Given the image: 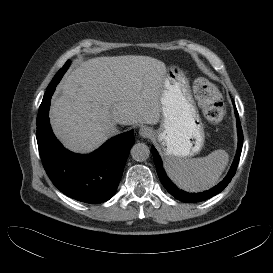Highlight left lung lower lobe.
<instances>
[{
  "instance_id": "left-lung-lower-lobe-1",
  "label": "left lung lower lobe",
  "mask_w": 273,
  "mask_h": 273,
  "mask_svg": "<svg viewBox=\"0 0 273 273\" xmlns=\"http://www.w3.org/2000/svg\"><path fill=\"white\" fill-rule=\"evenodd\" d=\"M234 109H235L237 129H238V149H237V153H236L234 162L232 164V167L230 168V170L228 172V175L217 186H215L214 188H212V189H210L208 191H205L203 193H187V192L179 190L169 180V178L165 174L161 158H160L159 154L157 153L156 149L154 147H152L154 163H155V166H156V171L158 173L159 179H160L161 183L163 184V186L166 188V190L171 195H173L176 199H178L180 201H183V202L204 201V200H207V199L215 196L216 194L220 193L228 185V183L231 181L232 177L234 176V174L236 172V169H237V166H238V163H239L240 154H241V150H242V144H243V133H242L241 125H240L238 112H237L236 107H234Z\"/></svg>"
}]
</instances>
